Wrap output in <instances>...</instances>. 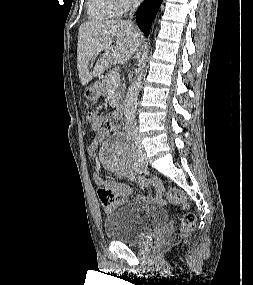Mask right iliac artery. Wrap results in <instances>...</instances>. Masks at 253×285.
I'll return each instance as SVG.
<instances>
[{"label": "right iliac artery", "mask_w": 253, "mask_h": 285, "mask_svg": "<svg viewBox=\"0 0 253 285\" xmlns=\"http://www.w3.org/2000/svg\"><path fill=\"white\" fill-rule=\"evenodd\" d=\"M135 170H136V169H135ZM128 178H129L130 181H134V179H135V173H134V171H131V172L129 173Z\"/></svg>", "instance_id": "right-iliac-artery-1"}]
</instances>
